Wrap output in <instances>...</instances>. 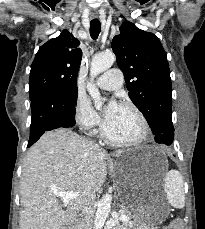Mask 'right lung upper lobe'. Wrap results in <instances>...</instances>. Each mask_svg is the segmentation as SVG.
Listing matches in <instances>:
<instances>
[{
    "label": "right lung upper lobe",
    "instance_id": "obj_1",
    "mask_svg": "<svg viewBox=\"0 0 205 229\" xmlns=\"http://www.w3.org/2000/svg\"><path fill=\"white\" fill-rule=\"evenodd\" d=\"M79 41L66 29L42 45L30 71V99L51 90L66 91L67 85L77 86L82 51Z\"/></svg>",
    "mask_w": 205,
    "mask_h": 229
}]
</instances>
